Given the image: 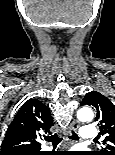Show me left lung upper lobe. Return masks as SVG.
<instances>
[{
	"instance_id": "5c2ea615",
	"label": "left lung upper lobe",
	"mask_w": 115,
	"mask_h": 155,
	"mask_svg": "<svg viewBox=\"0 0 115 155\" xmlns=\"http://www.w3.org/2000/svg\"><path fill=\"white\" fill-rule=\"evenodd\" d=\"M81 105H89L96 110V121H99L100 134L104 137L103 150L91 155H115V105L96 91L87 93Z\"/></svg>"
}]
</instances>
